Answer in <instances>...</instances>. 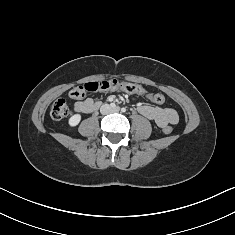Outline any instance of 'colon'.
Masks as SVG:
<instances>
[{
	"mask_svg": "<svg viewBox=\"0 0 235 235\" xmlns=\"http://www.w3.org/2000/svg\"><path fill=\"white\" fill-rule=\"evenodd\" d=\"M106 91H121L130 94L144 95L151 102L161 105L165 102L164 95L160 93L148 92L141 85L131 82H121L117 79L110 80H96L90 81L83 85H79L70 90L69 96L72 99H82L88 93L106 92ZM68 115V106L63 98L57 99L51 107V116L55 120L64 119ZM164 134L168 135L172 132L170 126H166L163 129Z\"/></svg>",
	"mask_w": 235,
	"mask_h": 235,
	"instance_id": "5ec220e1",
	"label": "colon"
}]
</instances>
